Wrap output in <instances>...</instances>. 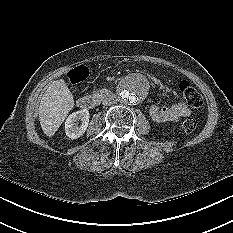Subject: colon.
<instances>
[{
  "mask_svg": "<svg viewBox=\"0 0 233 233\" xmlns=\"http://www.w3.org/2000/svg\"><path fill=\"white\" fill-rule=\"evenodd\" d=\"M88 76V70L85 67H78L73 69L69 73V79L71 83L77 84L84 81ZM179 90L181 91L186 102L195 109L202 107L203 98L200 93L187 81H181L179 84ZM182 128L185 132H193L197 128V121L194 118L186 119Z\"/></svg>",
  "mask_w": 233,
  "mask_h": 233,
  "instance_id": "1",
  "label": "colon"
}]
</instances>
